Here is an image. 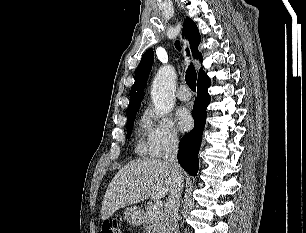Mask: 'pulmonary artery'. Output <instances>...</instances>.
Instances as JSON below:
<instances>
[{
    "label": "pulmonary artery",
    "instance_id": "pulmonary-artery-1",
    "mask_svg": "<svg viewBox=\"0 0 306 233\" xmlns=\"http://www.w3.org/2000/svg\"><path fill=\"white\" fill-rule=\"evenodd\" d=\"M176 95L179 100L184 101V102L189 101L191 99V93L188 91L186 85H181L178 88Z\"/></svg>",
    "mask_w": 306,
    "mask_h": 233
}]
</instances>
